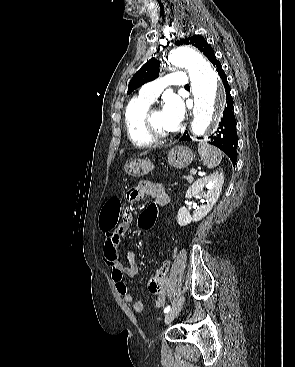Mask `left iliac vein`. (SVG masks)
Wrapping results in <instances>:
<instances>
[{
    "mask_svg": "<svg viewBox=\"0 0 295 367\" xmlns=\"http://www.w3.org/2000/svg\"><path fill=\"white\" fill-rule=\"evenodd\" d=\"M184 303V296H180L175 303V305L171 308V310L165 316V323L169 324L179 313Z\"/></svg>",
    "mask_w": 295,
    "mask_h": 367,
    "instance_id": "4c4485c4",
    "label": "left iliac vein"
}]
</instances>
